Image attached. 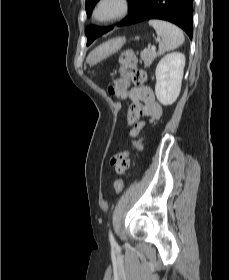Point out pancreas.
<instances>
[{
    "label": "pancreas",
    "instance_id": "obj_1",
    "mask_svg": "<svg viewBox=\"0 0 229 280\" xmlns=\"http://www.w3.org/2000/svg\"><path fill=\"white\" fill-rule=\"evenodd\" d=\"M159 56L155 50L145 49L141 52V59L143 60L146 67L150 66L155 58Z\"/></svg>",
    "mask_w": 229,
    "mask_h": 280
}]
</instances>
